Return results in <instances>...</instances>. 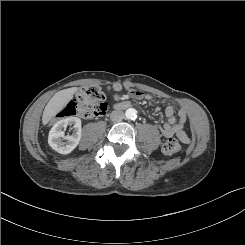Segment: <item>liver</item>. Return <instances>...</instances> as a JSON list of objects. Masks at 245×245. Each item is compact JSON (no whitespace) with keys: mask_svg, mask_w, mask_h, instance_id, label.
Masks as SVG:
<instances>
[{"mask_svg":"<svg viewBox=\"0 0 245 245\" xmlns=\"http://www.w3.org/2000/svg\"><path fill=\"white\" fill-rule=\"evenodd\" d=\"M77 91L76 87L61 90L54 94V96L47 103L43 115L42 123L46 125L57 113H59L66 104L73 98Z\"/></svg>","mask_w":245,"mask_h":245,"instance_id":"liver-1","label":"liver"}]
</instances>
